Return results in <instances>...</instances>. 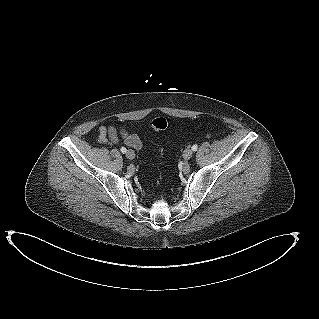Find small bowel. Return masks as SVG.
Listing matches in <instances>:
<instances>
[{
  "label": "small bowel",
  "instance_id": "small-bowel-1",
  "mask_svg": "<svg viewBox=\"0 0 319 319\" xmlns=\"http://www.w3.org/2000/svg\"><path fill=\"white\" fill-rule=\"evenodd\" d=\"M99 140L101 142H107L110 140L111 142L117 144L120 140L124 142V144L131 146L135 149H141L143 144L140 137L136 134H129L125 130H118L114 127H110L108 129H102Z\"/></svg>",
  "mask_w": 319,
  "mask_h": 319
}]
</instances>
